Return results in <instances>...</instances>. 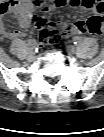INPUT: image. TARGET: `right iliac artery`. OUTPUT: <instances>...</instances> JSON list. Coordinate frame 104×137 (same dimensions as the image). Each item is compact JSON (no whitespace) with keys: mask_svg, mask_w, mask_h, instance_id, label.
<instances>
[{"mask_svg":"<svg viewBox=\"0 0 104 137\" xmlns=\"http://www.w3.org/2000/svg\"><path fill=\"white\" fill-rule=\"evenodd\" d=\"M29 46H30L29 50L31 52L37 51V49H38V44H37L36 40H30Z\"/></svg>","mask_w":104,"mask_h":137,"instance_id":"82829eb1","label":"right iliac artery"}]
</instances>
